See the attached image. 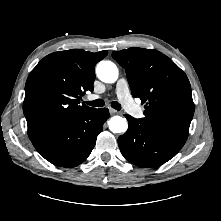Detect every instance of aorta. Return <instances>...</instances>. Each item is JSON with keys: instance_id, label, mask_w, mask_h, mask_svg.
<instances>
[{"instance_id": "obj_1", "label": "aorta", "mask_w": 221, "mask_h": 221, "mask_svg": "<svg viewBox=\"0 0 221 221\" xmlns=\"http://www.w3.org/2000/svg\"><path fill=\"white\" fill-rule=\"evenodd\" d=\"M96 74L104 83H114L118 79V68L111 61H101L96 66ZM128 128L125 118L113 116L109 121V129L113 133H124Z\"/></svg>"}]
</instances>
